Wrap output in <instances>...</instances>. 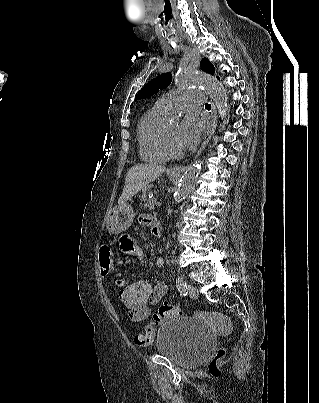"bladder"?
<instances>
[{"instance_id": "obj_1", "label": "bladder", "mask_w": 319, "mask_h": 403, "mask_svg": "<svg viewBox=\"0 0 319 403\" xmlns=\"http://www.w3.org/2000/svg\"><path fill=\"white\" fill-rule=\"evenodd\" d=\"M214 344L213 334L201 321L191 317L163 323L155 339V348L161 356L185 368L201 363Z\"/></svg>"}]
</instances>
